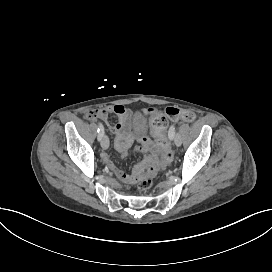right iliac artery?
<instances>
[{"label":"right iliac artery","instance_id":"82829eb1","mask_svg":"<svg viewBox=\"0 0 272 272\" xmlns=\"http://www.w3.org/2000/svg\"><path fill=\"white\" fill-rule=\"evenodd\" d=\"M97 132H98V140L100 141L101 138L103 137V134H104V127H103L102 123H100V122L98 123Z\"/></svg>","mask_w":272,"mask_h":272}]
</instances>
